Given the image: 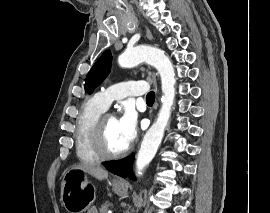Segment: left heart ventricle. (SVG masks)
<instances>
[{"mask_svg":"<svg viewBox=\"0 0 270 213\" xmlns=\"http://www.w3.org/2000/svg\"><path fill=\"white\" fill-rule=\"evenodd\" d=\"M105 143L110 152H120L126 148L117 119L112 116H108L105 121Z\"/></svg>","mask_w":270,"mask_h":213,"instance_id":"obj_1","label":"left heart ventricle"}]
</instances>
